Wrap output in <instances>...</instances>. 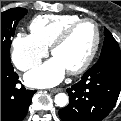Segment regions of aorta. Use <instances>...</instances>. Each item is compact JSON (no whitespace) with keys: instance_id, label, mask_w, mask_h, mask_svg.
I'll return each mask as SVG.
<instances>
[{"instance_id":"obj_1","label":"aorta","mask_w":121,"mask_h":121,"mask_svg":"<svg viewBox=\"0 0 121 121\" xmlns=\"http://www.w3.org/2000/svg\"><path fill=\"white\" fill-rule=\"evenodd\" d=\"M68 101V96L65 93H58L54 99L55 104L59 107H65Z\"/></svg>"}]
</instances>
